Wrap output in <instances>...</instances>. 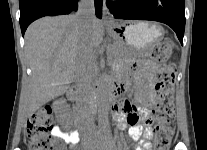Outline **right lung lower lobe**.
Returning <instances> with one entry per match:
<instances>
[{"mask_svg": "<svg viewBox=\"0 0 207 150\" xmlns=\"http://www.w3.org/2000/svg\"><path fill=\"white\" fill-rule=\"evenodd\" d=\"M95 1L98 18L102 17V0ZM20 27L24 35L27 27L36 19L44 16L69 14L76 11L78 0H19Z\"/></svg>", "mask_w": 207, "mask_h": 150, "instance_id": "1", "label": "right lung lower lobe"}]
</instances>
